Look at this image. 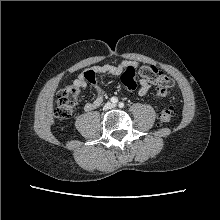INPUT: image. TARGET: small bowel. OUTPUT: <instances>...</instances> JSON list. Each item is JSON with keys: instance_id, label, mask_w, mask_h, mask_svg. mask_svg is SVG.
Returning a JSON list of instances; mask_svg holds the SVG:
<instances>
[{"instance_id": "small-bowel-1", "label": "small bowel", "mask_w": 220, "mask_h": 220, "mask_svg": "<svg viewBox=\"0 0 220 220\" xmlns=\"http://www.w3.org/2000/svg\"><path fill=\"white\" fill-rule=\"evenodd\" d=\"M134 62L132 61H122L117 65L106 64L95 66L91 70L81 73L78 78L74 81V84L79 88H85L87 84L93 86L96 92V98L85 104L84 109L86 111H93L97 109L103 102V90L97 85L96 77L101 74H108L117 76L119 75L125 67L132 66ZM150 90V84L144 79L139 82L138 94L140 96L146 95Z\"/></svg>"}]
</instances>
